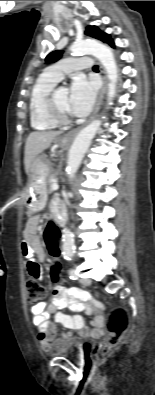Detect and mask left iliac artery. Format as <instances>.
Returning a JSON list of instances; mask_svg holds the SVG:
<instances>
[{
  "label": "left iliac artery",
  "mask_w": 155,
  "mask_h": 395,
  "mask_svg": "<svg viewBox=\"0 0 155 395\" xmlns=\"http://www.w3.org/2000/svg\"><path fill=\"white\" fill-rule=\"evenodd\" d=\"M69 276H70V278L73 279V280L78 279V276H79L78 271L75 270V269H70V270H69Z\"/></svg>",
  "instance_id": "left-iliac-artery-1"
}]
</instances>
